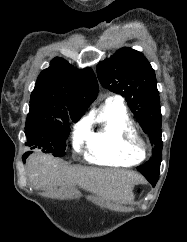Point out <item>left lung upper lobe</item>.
I'll list each match as a JSON object with an SVG mask.
<instances>
[{
  "instance_id": "obj_1",
  "label": "left lung upper lobe",
  "mask_w": 187,
  "mask_h": 242,
  "mask_svg": "<svg viewBox=\"0 0 187 242\" xmlns=\"http://www.w3.org/2000/svg\"><path fill=\"white\" fill-rule=\"evenodd\" d=\"M97 74L101 84L122 95L153 145L152 157L137 169L144 176L159 177L163 142L161 110L155 71L141 52L121 48L109 59L99 62Z\"/></svg>"
}]
</instances>
